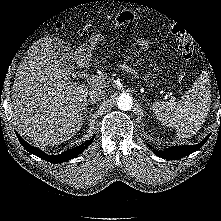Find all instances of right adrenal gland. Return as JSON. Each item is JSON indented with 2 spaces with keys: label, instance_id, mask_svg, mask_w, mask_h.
I'll use <instances>...</instances> for the list:
<instances>
[{
  "label": "right adrenal gland",
  "instance_id": "right-adrenal-gland-1",
  "mask_svg": "<svg viewBox=\"0 0 221 221\" xmlns=\"http://www.w3.org/2000/svg\"><path fill=\"white\" fill-rule=\"evenodd\" d=\"M96 103V101L95 100H88L87 102H86V108H85V118H90V116L92 115V113H93V108H90V110L89 111H87V107H88V105L89 104H95ZM87 113H89V115L87 116Z\"/></svg>",
  "mask_w": 221,
  "mask_h": 221
}]
</instances>
